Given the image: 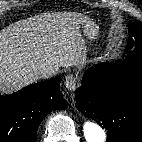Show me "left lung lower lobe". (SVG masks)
I'll use <instances>...</instances> for the list:
<instances>
[{"instance_id":"1","label":"left lung lower lobe","mask_w":142,"mask_h":142,"mask_svg":"<svg viewBox=\"0 0 142 142\" xmlns=\"http://www.w3.org/2000/svg\"><path fill=\"white\" fill-rule=\"evenodd\" d=\"M75 99L81 113L105 127L106 142H138L142 138V57L133 55L88 69Z\"/></svg>"}]
</instances>
